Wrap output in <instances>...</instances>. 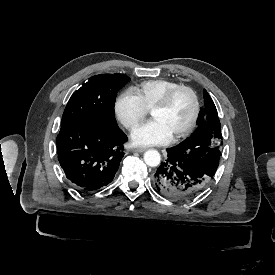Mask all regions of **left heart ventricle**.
Returning a JSON list of instances; mask_svg holds the SVG:
<instances>
[{
  "label": "left heart ventricle",
  "instance_id": "b2bd125f",
  "mask_svg": "<svg viewBox=\"0 0 275 275\" xmlns=\"http://www.w3.org/2000/svg\"><path fill=\"white\" fill-rule=\"evenodd\" d=\"M193 109L191 95L185 90H180L166 108L154 111L151 117L152 120L158 121L172 137L189 123Z\"/></svg>",
  "mask_w": 275,
  "mask_h": 275
}]
</instances>
